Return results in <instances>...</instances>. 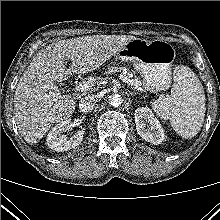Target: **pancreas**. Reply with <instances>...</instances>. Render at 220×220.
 I'll list each match as a JSON object with an SVG mask.
<instances>
[{
	"mask_svg": "<svg viewBox=\"0 0 220 220\" xmlns=\"http://www.w3.org/2000/svg\"><path fill=\"white\" fill-rule=\"evenodd\" d=\"M122 68L121 67H114V66H111L108 68L107 70V74H112V73H116V72H119L121 71ZM133 81V85H141V82L138 80L137 77H135L134 79H131Z\"/></svg>",
	"mask_w": 220,
	"mask_h": 220,
	"instance_id": "cf45deb5",
	"label": "pancreas"
}]
</instances>
